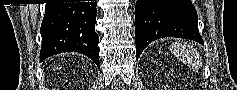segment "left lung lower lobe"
<instances>
[{
	"instance_id": "obj_1",
	"label": "left lung lower lobe",
	"mask_w": 237,
	"mask_h": 90,
	"mask_svg": "<svg viewBox=\"0 0 237 90\" xmlns=\"http://www.w3.org/2000/svg\"><path fill=\"white\" fill-rule=\"evenodd\" d=\"M162 37H179L204 43L191 0H137L136 59L150 42Z\"/></svg>"
}]
</instances>
